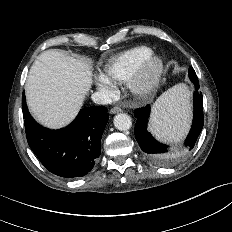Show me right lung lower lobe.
<instances>
[{"mask_svg":"<svg viewBox=\"0 0 232 232\" xmlns=\"http://www.w3.org/2000/svg\"><path fill=\"white\" fill-rule=\"evenodd\" d=\"M22 111L28 144L47 170L66 178L82 177L92 170L109 118L106 107L83 108L60 130L44 128L31 117L24 92Z\"/></svg>","mask_w":232,"mask_h":232,"instance_id":"1","label":"right lung lower lobe"}]
</instances>
